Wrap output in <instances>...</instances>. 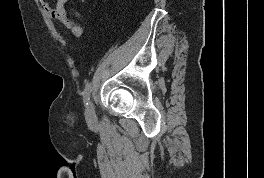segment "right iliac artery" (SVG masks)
<instances>
[{
  "label": "right iliac artery",
  "mask_w": 264,
  "mask_h": 178,
  "mask_svg": "<svg viewBox=\"0 0 264 178\" xmlns=\"http://www.w3.org/2000/svg\"><path fill=\"white\" fill-rule=\"evenodd\" d=\"M90 93H91V84L87 83L83 92V100L86 105L88 104V101L90 99Z\"/></svg>",
  "instance_id": "82829eb1"
}]
</instances>
